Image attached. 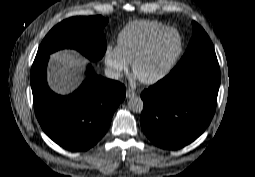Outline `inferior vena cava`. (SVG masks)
Wrapping results in <instances>:
<instances>
[{"instance_id":"602c4592","label":"inferior vena cava","mask_w":255,"mask_h":177,"mask_svg":"<svg viewBox=\"0 0 255 177\" xmlns=\"http://www.w3.org/2000/svg\"><path fill=\"white\" fill-rule=\"evenodd\" d=\"M105 76L109 79L119 80L122 77V73L115 67H106L104 70Z\"/></svg>"}]
</instances>
